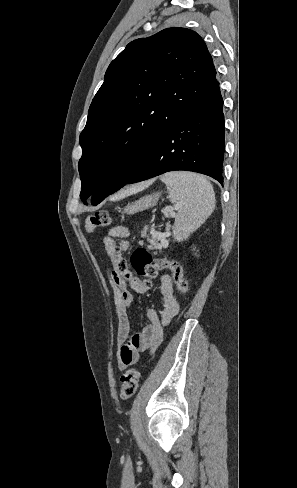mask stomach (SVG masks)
<instances>
[{"mask_svg": "<svg viewBox=\"0 0 297 488\" xmlns=\"http://www.w3.org/2000/svg\"><path fill=\"white\" fill-rule=\"evenodd\" d=\"M161 196L160 192L152 193L148 196H144L140 198L139 200L126 205L122 211L126 214H135L137 212H141L143 210H146L154 205L157 204L159 198Z\"/></svg>", "mask_w": 297, "mask_h": 488, "instance_id": "stomach-1", "label": "stomach"}]
</instances>
